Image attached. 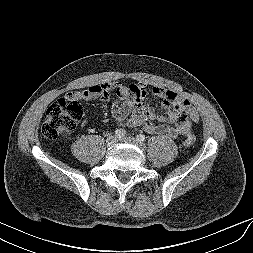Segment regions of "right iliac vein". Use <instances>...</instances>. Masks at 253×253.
I'll return each instance as SVG.
<instances>
[{
	"instance_id": "right-iliac-vein-1",
	"label": "right iliac vein",
	"mask_w": 253,
	"mask_h": 253,
	"mask_svg": "<svg viewBox=\"0 0 253 253\" xmlns=\"http://www.w3.org/2000/svg\"><path fill=\"white\" fill-rule=\"evenodd\" d=\"M117 137L116 136H109L106 140L108 146H114L117 143Z\"/></svg>"
}]
</instances>
